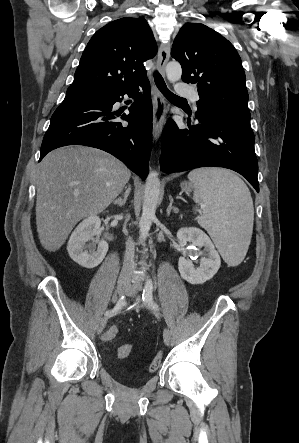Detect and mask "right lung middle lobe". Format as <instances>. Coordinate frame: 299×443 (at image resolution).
I'll use <instances>...</instances> for the list:
<instances>
[{
  "instance_id": "dd1d6c3e",
  "label": "right lung middle lobe",
  "mask_w": 299,
  "mask_h": 443,
  "mask_svg": "<svg viewBox=\"0 0 299 443\" xmlns=\"http://www.w3.org/2000/svg\"><path fill=\"white\" fill-rule=\"evenodd\" d=\"M66 97L97 99L105 97V92L88 88L69 87L66 93Z\"/></svg>"
}]
</instances>
